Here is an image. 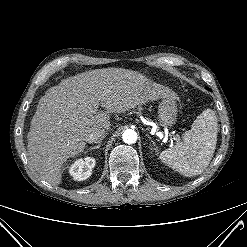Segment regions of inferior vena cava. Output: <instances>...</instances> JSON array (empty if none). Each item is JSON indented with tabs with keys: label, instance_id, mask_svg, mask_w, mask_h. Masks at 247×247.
<instances>
[{
	"label": "inferior vena cava",
	"instance_id": "1",
	"mask_svg": "<svg viewBox=\"0 0 247 247\" xmlns=\"http://www.w3.org/2000/svg\"><path fill=\"white\" fill-rule=\"evenodd\" d=\"M105 137V130L104 129H97L91 132L88 136L86 141L88 143H100Z\"/></svg>",
	"mask_w": 247,
	"mask_h": 247
}]
</instances>
